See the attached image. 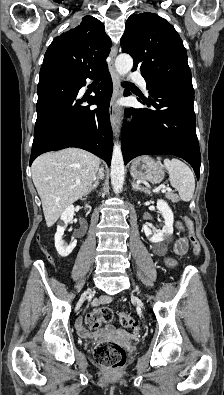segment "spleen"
I'll list each match as a JSON object with an SVG mask.
<instances>
[{
	"label": "spleen",
	"mask_w": 224,
	"mask_h": 395,
	"mask_svg": "<svg viewBox=\"0 0 224 395\" xmlns=\"http://www.w3.org/2000/svg\"><path fill=\"white\" fill-rule=\"evenodd\" d=\"M158 160L161 158L158 157ZM164 165L169 173V179L172 187H174L180 198L188 202L192 199L195 189V179L191 169L179 159H165Z\"/></svg>",
	"instance_id": "spleen-1"
}]
</instances>
